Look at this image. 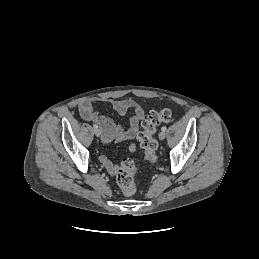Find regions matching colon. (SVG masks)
I'll list each match as a JSON object with an SVG mask.
<instances>
[{
  "instance_id": "5ec220e1",
  "label": "colon",
  "mask_w": 259,
  "mask_h": 259,
  "mask_svg": "<svg viewBox=\"0 0 259 259\" xmlns=\"http://www.w3.org/2000/svg\"><path fill=\"white\" fill-rule=\"evenodd\" d=\"M173 119L172 111L168 108L151 111L147 118L142 122V131L138 134L140 146L144 150V161L154 164L157 161L158 143L154 134L161 123L171 122ZM139 164L134 159H124L117 166L115 176L116 182L123 194L133 195L136 191L135 176Z\"/></svg>"
}]
</instances>
